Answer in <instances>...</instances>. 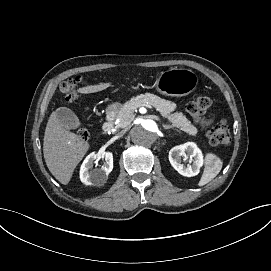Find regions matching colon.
<instances>
[{
    "mask_svg": "<svg viewBox=\"0 0 271 271\" xmlns=\"http://www.w3.org/2000/svg\"><path fill=\"white\" fill-rule=\"evenodd\" d=\"M81 83L80 77L64 81L60 85V92L66 100H74L78 95ZM213 100L214 97L211 93H205L187 103L186 108L191 116L206 129L207 139L212 145H227L231 142V133L227 122L224 120L214 122L206 115ZM77 133L83 140L89 137V130L85 127H80Z\"/></svg>",
    "mask_w": 271,
    "mask_h": 271,
    "instance_id": "5ec220e1",
    "label": "colon"
}]
</instances>
